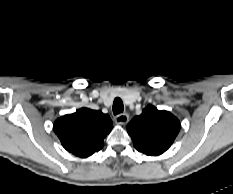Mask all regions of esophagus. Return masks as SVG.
<instances>
[{
  "label": "esophagus",
  "mask_w": 233,
  "mask_h": 194,
  "mask_svg": "<svg viewBox=\"0 0 233 194\" xmlns=\"http://www.w3.org/2000/svg\"><path fill=\"white\" fill-rule=\"evenodd\" d=\"M128 121H129V116L126 113L119 114L115 117V122L120 125H125L128 123Z\"/></svg>",
  "instance_id": "esophagus-1"
}]
</instances>
